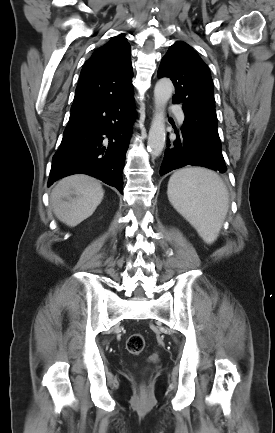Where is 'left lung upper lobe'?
<instances>
[{
    "mask_svg": "<svg viewBox=\"0 0 275 433\" xmlns=\"http://www.w3.org/2000/svg\"><path fill=\"white\" fill-rule=\"evenodd\" d=\"M159 77H169L175 86L174 103H182L185 120L181 130L196 133L225 166L217 130L213 81L208 66L188 44L172 45L162 58Z\"/></svg>",
    "mask_w": 275,
    "mask_h": 433,
    "instance_id": "1",
    "label": "left lung upper lobe"
}]
</instances>
